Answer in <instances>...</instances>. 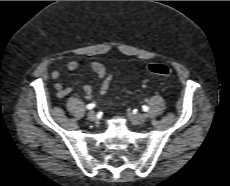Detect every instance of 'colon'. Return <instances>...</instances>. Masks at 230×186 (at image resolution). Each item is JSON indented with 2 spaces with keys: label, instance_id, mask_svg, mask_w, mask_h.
I'll return each instance as SVG.
<instances>
[{
  "label": "colon",
  "instance_id": "5ec220e1",
  "mask_svg": "<svg viewBox=\"0 0 230 186\" xmlns=\"http://www.w3.org/2000/svg\"><path fill=\"white\" fill-rule=\"evenodd\" d=\"M147 70L152 74L168 77L172 71L170 67L163 63H150L147 65Z\"/></svg>",
  "mask_w": 230,
  "mask_h": 186
}]
</instances>
